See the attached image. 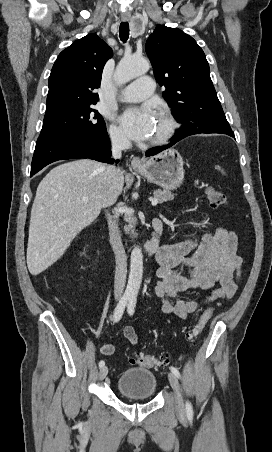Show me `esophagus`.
I'll return each instance as SVG.
<instances>
[{
	"mask_svg": "<svg viewBox=\"0 0 272 452\" xmlns=\"http://www.w3.org/2000/svg\"><path fill=\"white\" fill-rule=\"evenodd\" d=\"M130 17L131 16L129 14H124V15H122V20L126 22V21L130 20ZM142 164H143L142 160L138 157H134L131 161L132 167H139Z\"/></svg>",
	"mask_w": 272,
	"mask_h": 452,
	"instance_id": "esophagus-1",
	"label": "esophagus"
}]
</instances>
